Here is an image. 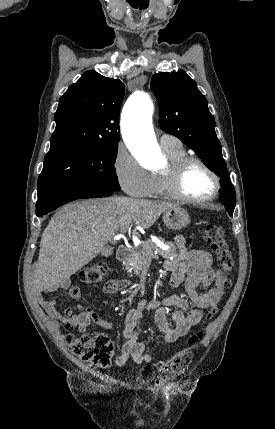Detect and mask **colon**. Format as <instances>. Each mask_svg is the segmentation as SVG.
<instances>
[{
	"label": "colon",
	"instance_id": "obj_1",
	"mask_svg": "<svg viewBox=\"0 0 275 429\" xmlns=\"http://www.w3.org/2000/svg\"><path fill=\"white\" fill-rule=\"evenodd\" d=\"M204 236L217 257L218 265L223 270L221 285L223 289H227L231 285V271L234 266V258L230 246L216 225H206ZM107 273V265L104 263H93L85 266L79 272V279L87 285L96 286L102 282ZM217 309V306L206 308V318L214 315ZM67 328H71V326L67 324ZM201 337L202 332L197 331L189 337L188 343L192 345ZM66 341L68 347L78 359L99 369H105L110 365L114 345L107 335L75 336L70 334L67 335ZM192 360L193 355L189 350L179 352L165 365L162 372V379L167 381L183 375L192 363Z\"/></svg>",
	"mask_w": 275,
	"mask_h": 429
}]
</instances>
